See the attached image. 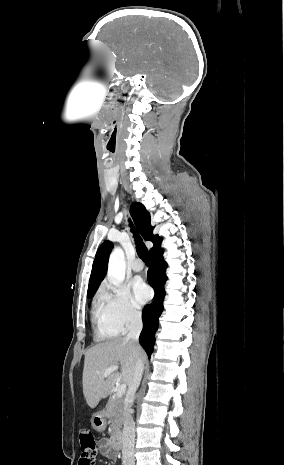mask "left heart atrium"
<instances>
[{
    "instance_id": "obj_1",
    "label": "left heart atrium",
    "mask_w": 284,
    "mask_h": 465,
    "mask_svg": "<svg viewBox=\"0 0 284 465\" xmlns=\"http://www.w3.org/2000/svg\"><path fill=\"white\" fill-rule=\"evenodd\" d=\"M151 296L149 287L140 280H135L131 286V299L137 306L145 304Z\"/></svg>"
}]
</instances>
